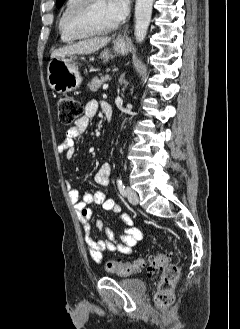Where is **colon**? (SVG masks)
<instances>
[{
    "mask_svg": "<svg viewBox=\"0 0 240 329\" xmlns=\"http://www.w3.org/2000/svg\"><path fill=\"white\" fill-rule=\"evenodd\" d=\"M59 122L71 125L83 114V107L77 98L61 95L56 100ZM173 252H158L146 258H138L133 262L108 261L105 268L118 275H129L137 270L145 269L150 272L162 271L154 301L158 307H167L174 301V291L179 279L178 266L169 264Z\"/></svg>",
    "mask_w": 240,
    "mask_h": 329,
    "instance_id": "1",
    "label": "colon"
}]
</instances>
